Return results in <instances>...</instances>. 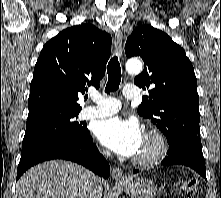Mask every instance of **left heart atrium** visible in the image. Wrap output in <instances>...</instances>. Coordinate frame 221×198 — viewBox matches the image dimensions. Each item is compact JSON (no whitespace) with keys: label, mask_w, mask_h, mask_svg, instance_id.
I'll return each mask as SVG.
<instances>
[{"label":"left heart atrium","mask_w":221,"mask_h":198,"mask_svg":"<svg viewBox=\"0 0 221 198\" xmlns=\"http://www.w3.org/2000/svg\"><path fill=\"white\" fill-rule=\"evenodd\" d=\"M95 135L104 146L123 156H134L143 139L135 119L120 117L100 121L95 128Z\"/></svg>","instance_id":"1"}]
</instances>
